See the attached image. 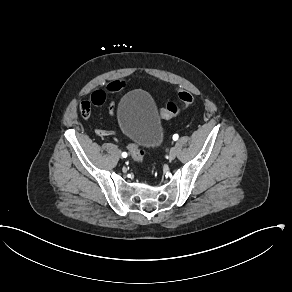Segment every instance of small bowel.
I'll list each match as a JSON object with an SVG mask.
<instances>
[{"mask_svg": "<svg viewBox=\"0 0 292 292\" xmlns=\"http://www.w3.org/2000/svg\"><path fill=\"white\" fill-rule=\"evenodd\" d=\"M115 83H108L106 86H105V91L107 93H110L109 94V106H108V109L109 110H112L113 109V104H114V94L112 92H115V91H120L122 90L124 87H125V82L124 81H114ZM116 110H117V106H114V109H113V115H116ZM106 115L107 116H110L111 115V112L110 111H107L106 112ZM105 134H108L109 136H113V132L112 131H105ZM104 135V132H101L99 133V136H102ZM118 135V132L117 130H114V136H117Z\"/></svg>", "mask_w": 292, "mask_h": 292, "instance_id": "1", "label": "small bowel"}]
</instances>
